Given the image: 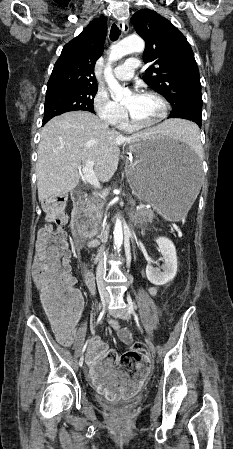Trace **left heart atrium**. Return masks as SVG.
<instances>
[{
	"label": "left heart atrium",
	"mask_w": 233,
	"mask_h": 449,
	"mask_svg": "<svg viewBox=\"0 0 233 449\" xmlns=\"http://www.w3.org/2000/svg\"><path fill=\"white\" fill-rule=\"evenodd\" d=\"M140 94L136 93L135 95H133L134 98H137Z\"/></svg>",
	"instance_id": "left-heart-atrium-1"
}]
</instances>
